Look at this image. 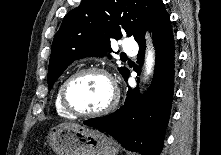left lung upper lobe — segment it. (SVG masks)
<instances>
[{
    "instance_id": "obj_1",
    "label": "left lung upper lobe",
    "mask_w": 221,
    "mask_h": 155,
    "mask_svg": "<svg viewBox=\"0 0 221 155\" xmlns=\"http://www.w3.org/2000/svg\"><path fill=\"white\" fill-rule=\"evenodd\" d=\"M162 3V0H82L64 17L54 37L47 77L49 89L74 60L112 51L110 38L119 39L126 33L136 40ZM119 71L124 77L129 70L121 67Z\"/></svg>"
}]
</instances>
